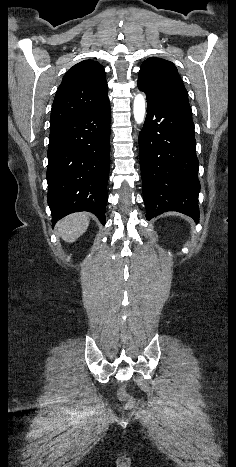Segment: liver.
<instances>
[{
    "mask_svg": "<svg viewBox=\"0 0 236 467\" xmlns=\"http://www.w3.org/2000/svg\"><path fill=\"white\" fill-rule=\"evenodd\" d=\"M88 226L87 213L70 214L57 223L58 235L65 242L73 243L86 232Z\"/></svg>",
    "mask_w": 236,
    "mask_h": 467,
    "instance_id": "6515ba94",
    "label": "liver"
}]
</instances>
